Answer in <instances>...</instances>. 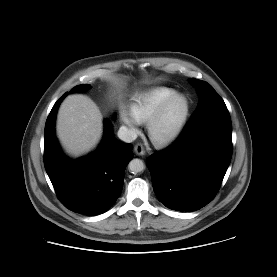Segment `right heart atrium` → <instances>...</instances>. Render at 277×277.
I'll use <instances>...</instances> for the list:
<instances>
[{
  "instance_id": "d8ad5b80",
  "label": "right heart atrium",
  "mask_w": 277,
  "mask_h": 277,
  "mask_svg": "<svg viewBox=\"0 0 277 277\" xmlns=\"http://www.w3.org/2000/svg\"><path fill=\"white\" fill-rule=\"evenodd\" d=\"M120 120L124 125L133 129L136 128L138 124V122L133 117H131L125 110H121Z\"/></svg>"
}]
</instances>
